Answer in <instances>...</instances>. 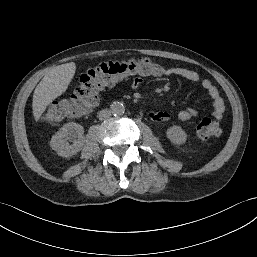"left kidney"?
Returning <instances> with one entry per match:
<instances>
[{"instance_id":"left-kidney-1","label":"left kidney","mask_w":257,"mask_h":257,"mask_svg":"<svg viewBox=\"0 0 257 257\" xmlns=\"http://www.w3.org/2000/svg\"><path fill=\"white\" fill-rule=\"evenodd\" d=\"M166 135L168 139L175 144H183L187 139V134L180 126L170 127L167 129Z\"/></svg>"}]
</instances>
